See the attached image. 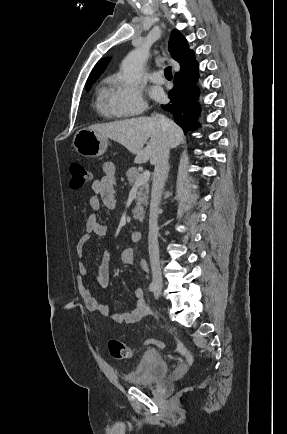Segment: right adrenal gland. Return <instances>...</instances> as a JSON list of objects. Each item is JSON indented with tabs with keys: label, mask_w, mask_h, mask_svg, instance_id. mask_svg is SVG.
Returning <instances> with one entry per match:
<instances>
[{
	"label": "right adrenal gland",
	"mask_w": 287,
	"mask_h": 434,
	"mask_svg": "<svg viewBox=\"0 0 287 434\" xmlns=\"http://www.w3.org/2000/svg\"><path fill=\"white\" fill-rule=\"evenodd\" d=\"M169 168H170V165H168V168H167V173L169 172Z\"/></svg>",
	"instance_id": "right-adrenal-gland-1"
}]
</instances>
